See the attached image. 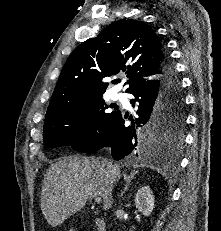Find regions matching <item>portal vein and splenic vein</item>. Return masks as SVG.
<instances>
[{
	"mask_svg": "<svg viewBox=\"0 0 221 231\" xmlns=\"http://www.w3.org/2000/svg\"><path fill=\"white\" fill-rule=\"evenodd\" d=\"M101 201H102V199H101L100 197H95V202H96L97 204H100Z\"/></svg>",
	"mask_w": 221,
	"mask_h": 231,
	"instance_id": "18ae733b",
	"label": "portal vein and splenic vein"
}]
</instances>
